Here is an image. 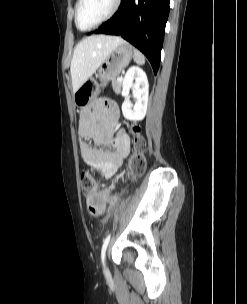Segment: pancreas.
Returning <instances> with one entry per match:
<instances>
[{
    "mask_svg": "<svg viewBox=\"0 0 247 304\" xmlns=\"http://www.w3.org/2000/svg\"><path fill=\"white\" fill-rule=\"evenodd\" d=\"M122 81H112V88L115 93L119 94L121 90Z\"/></svg>",
    "mask_w": 247,
    "mask_h": 304,
    "instance_id": "pancreas-1",
    "label": "pancreas"
}]
</instances>
